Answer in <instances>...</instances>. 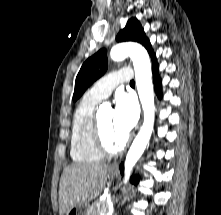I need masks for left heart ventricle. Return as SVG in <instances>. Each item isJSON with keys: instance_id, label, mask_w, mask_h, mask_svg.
<instances>
[{"instance_id": "1", "label": "left heart ventricle", "mask_w": 221, "mask_h": 215, "mask_svg": "<svg viewBox=\"0 0 221 215\" xmlns=\"http://www.w3.org/2000/svg\"><path fill=\"white\" fill-rule=\"evenodd\" d=\"M113 112L112 111H106L99 115L100 118V124L103 131L104 138L107 142V144L115 148L121 144V142L125 139L122 136H120L114 129L113 126Z\"/></svg>"}]
</instances>
